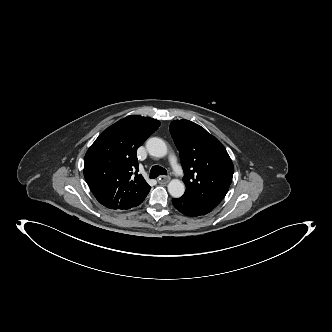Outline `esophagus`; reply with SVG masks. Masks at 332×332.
Wrapping results in <instances>:
<instances>
[{
    "instance_id": "obj_1",
    "label": "esophagus",
    "mask_w": 332,
    "mask_h": 332,
    "mask_svg": "<svg viewBox=\"0 0 332 332\" xmlns=\"http://www.w3.org/2000/svg\"><path fill=\"white\" fill-rule=\"evenodd\" d=\"M169 181H170V177L169 176H160L158 178V182L162 183V184L168 183Z\"/></svg>"
}]
</instances>
